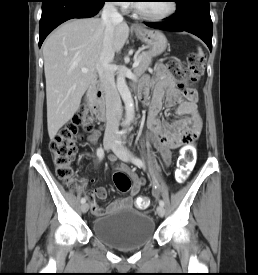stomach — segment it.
<instances>
[{
    "label": "stomach",
    "instance_id": "obj_1",
    "mask_svg": "<svg viewBox=\"0 0 258 275\" xmlns=\"http://www.w3.org/2000/svg\"><path fill=\"white\" fill-rule=\"evenodd\" d=\"M135 34L149 47V53L152 56L160 55L167 47V39L161 31L140 28L135 30Z\"/></svg>",
    "mask_w": 258,
    "mask_h": 275
}]
</instances>
